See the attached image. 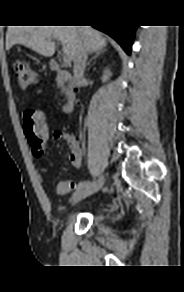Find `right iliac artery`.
Wrapping results in <instances>:
<instances>
[{"mask_svg": "<svg viewBox=\"0 0 184 292\" xmlns=\"http://www.w3.org/2000/svg\"><path fill=\"white\" fill-rule=\"evenodd\" d=\"M93 183H94L93 180L89 179V181L79 183L77 189H82V188L88 187V186L92 185Z\"/></svg>", "mask_w": 184, "mask_h": 292, "instance_id": "obj_1", "label": "right iliac artery"}]
</instances>
